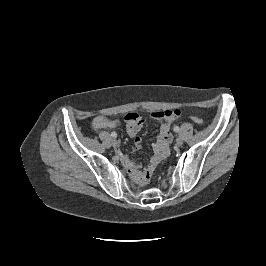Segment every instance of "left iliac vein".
I'll list each match as a JSON object with an SVG mask.
<instances>
[{"mask_svg": "<svg viewBox=\"0 0 266 266\" xmlns=\"http://www.w3.org/2000/svg\"><path fill=\"white\" fill-rule=\"evenodd\" d=\"M176 144H177V146H181L182 144H183V138L182 137H177V139H176Z\"/></svg>", "mask_w": 266, "mask_h": 266, "instance_id": "1", "label": "left iliac vein"}]
</instances>
